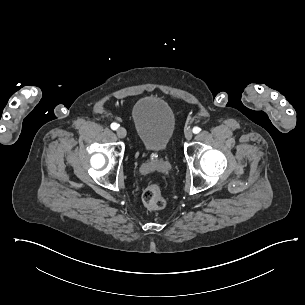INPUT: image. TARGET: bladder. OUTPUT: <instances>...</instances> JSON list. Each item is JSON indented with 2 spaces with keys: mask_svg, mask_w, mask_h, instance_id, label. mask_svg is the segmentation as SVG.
I'll list each match as a JSON object with an SVG mask.
<instances>
[{
  "mask_svg": "<svg viewBox=\"0 0 305 305\" xmlns=\"http://www.w3.org/2000/svg\"><path fill=\"white\" fill-rule=\"evenodd\" d=\"M130 113L140 143L151 150L164 151L175 130L173 106L161 96L147 94L132 105Z\"/></svg>",
  "mask_w": 305,
  "mask_h": 305,
  "instance_id": "bladder-1",
  "label": "bladder"
}]
</instances>
